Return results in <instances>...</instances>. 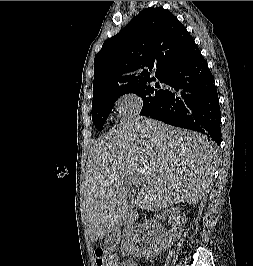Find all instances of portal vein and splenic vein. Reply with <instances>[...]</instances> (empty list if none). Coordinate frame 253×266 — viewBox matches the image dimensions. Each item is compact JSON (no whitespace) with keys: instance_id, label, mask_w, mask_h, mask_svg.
<instances>
[{"instance_id":"1","label":"portal vein and splenic vein","mask_w":253,"mask_h":266,"mask_svg":"<svg viewBox=\"0 0 253 266\" xmlns=\"http://www.w3.org/2000/svg\"><path fill=\"white\" fill-rule=\"evenodd\" d=\"M130 182H132L133 184L141 185V181L136 177H130Z\"/></svg>"}]
</instances>
